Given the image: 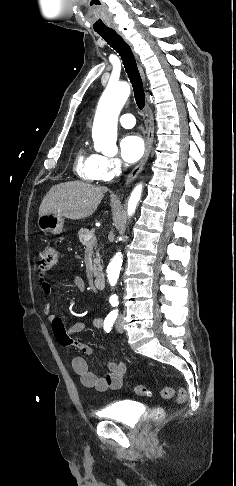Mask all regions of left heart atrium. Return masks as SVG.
Segmentation results:
<instances>
[{
	"instance_id": "obj_1",
	"label": "left heart atrium",
	"mask_w": 236,
	"mask_h": 486,
	"mask_svg": "<svg viewBox=\"0 0 236 486\" xmlns=\"http://www.w3.org/2000/svg\"><path fill=\"white\" fill-rule=\"evenodd\" d=\"M144 148L142 138L136 134H128L120 142L121 155L127 163L138 161L144 153Z\"/></svg>"
}]
</instances>
